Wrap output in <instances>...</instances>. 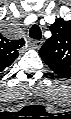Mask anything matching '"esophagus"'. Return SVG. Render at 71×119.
Segmentation results:
<instances>
[{
    "mask_svg": "<svg viewBox=\"0 0 71 119\" xmlns=\"http://www.w3.org/2000/svg\"><path fill=\"white\" fill-rule=\"evenodd\" d=\"M43 45L42 40H34L31 42V46L35 49H39Z\"/></svg>",
    "mask_w": 71,
    "mask_h": 119,
    "instance_id": "esophagus-1",
    "label": "esophagus"
}]
</instances>
